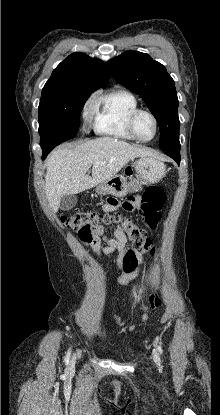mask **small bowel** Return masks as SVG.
<instances>
[{
  "label": "small bowel",
  "instance_id": "obj_1",
  "mask_svg": "<svg viewBox=\"0 0 220 415\" xmlns=\"http://www.w3.org/2000/svg\"><path fill=\"white\" fill-rule=\"evenodd\" d=\"M129 203L131 204L130 207L125 208L124 210L128 212H134V199L132 196L129 198ZM105 210H114L115 207L111 205H105ZM79 239L84 243L87 244L95 249L96 255L99 258L108 257L111 255H119L122 256L125 254L130 248L127 245V237L120 226H117L114 230L113 235H107L104 232L103 227L98 229H94L89 234H84L83 232H78ZM105 242L106 246L101 247V242ZM151 308H154L152 305L145 304L143 306L144 314L140 319V323L145 322L148 319V313ZM114 320L119 323L120 320L118 317H114ZM136 328L135 325L129 326V330H134Z\"/></svg>",
  "mask_w": 220,
  "mask_h": 415
}]
</instances>
